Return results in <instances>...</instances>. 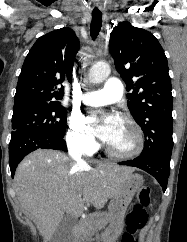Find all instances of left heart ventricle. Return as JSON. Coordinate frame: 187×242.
Masks as SVG:
<instances>
[{
  "label": "left heart ventricle",
  "instance_id": "left-heart-ventricle-1",
  "mask_svg": "<svg viewBox=\"0 0 187 242\" xmlns=\"http://www.w3.org/2000/svg\"><path fill=\"white\" fill-rule=\"evenodd\" d=\"M108 145L118 151H130L136 146V135L133 128L118 119Z\"/></svg>",
  "mask_w": 187,
  "mask_h": 242
}]
</instances>
